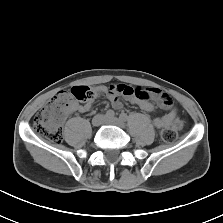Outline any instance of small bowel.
<instances>
[{"label": "small bowel", "instance_id": "1", "mask_svg": "<svg viewBox=\"0 0 223 223\" xmlns=\"http://www.w3.org/2000/svg\"><path fill=\"white\" fill-rule=\"evenodd\" d=\"M129 87L125 84L112 85L107 91L104 87H97L96 91L99 93L107 92V97L114 109H121L122 102L119 98V95H123L125 99L132 105H138L142 110L151 112L154 110V104L148 99L141 100L135 97L134 95H128L124 91ZM147 93L149 96L154 99L157 104L167 110V113L162 117H155L152 120L153 125L157 129L163 128L167 124H172L175 127H181L182 122L178 117L177 110L173 106V102L171 97L168 94L160 92L157 88H148ZM91 108V102H87L85 104H75L72 107V110L85 113L88 112Z\"/></svg>", "mask_w": 223, "mask_h": 223}]
</instances>
